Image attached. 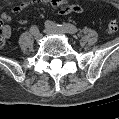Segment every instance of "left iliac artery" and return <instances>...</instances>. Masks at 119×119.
Here are the masks:
<instances>
[{
  "label": "left iliac artery",
  "mask_w": 119,
  "mask_h": 119,
  "mask_svg": "<svg viewBox=\"0 0 119 119\" xmlns=\"http://www.w3.org/2000/svg\"><path fill=\"white\" fill-rule=\"evenodd\" d=\"M45 26L53 28V29L62 30V31H64L66 33H69V34H75L78 31L76 26H74L72 24H62V25H60V24H55L52 21H46Z\"/></svg>",
  "instance_id": "left-iliac-artery-1"
}]
</instances>
